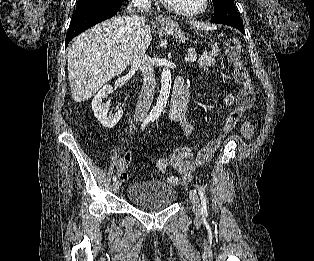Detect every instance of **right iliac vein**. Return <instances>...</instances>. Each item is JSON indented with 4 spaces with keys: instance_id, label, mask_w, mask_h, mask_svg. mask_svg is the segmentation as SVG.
I'll list each match as a JSON object with an SVG mask.
<instances>
[{
    "instance_id": "63e3f726",
    "label": "right iliac vein",
    "mask_w": 314,
    "mask_h": 261,
    "mask_svg": "<svg viewBox=\"0 0 314 261\" xmlns=\"http://www.w3.org/2000/svg\"><path fill=\"white\" fill-rule=\"evenodd\" d=\"M120 187H121L120 183L118 181H114V183H113V190H114L115 193L119 192Z\"/></svg>"
}]
</instances>
